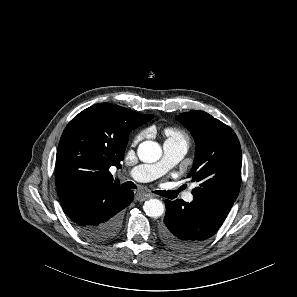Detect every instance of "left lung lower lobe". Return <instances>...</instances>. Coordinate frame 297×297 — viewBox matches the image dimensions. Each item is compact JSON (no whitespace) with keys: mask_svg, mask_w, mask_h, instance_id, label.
<instances>
[{"mask_svg":"<svg viewBox=\"0 0 297 297\" xmlns=\"http://www.w3.org/2000/svg\"><path fill=\"white\" fill-rule=\"evenodd\" d=\"M235 200L224 198L166 200L162 241L178 251H190L213 236L227 217Z\"/></svg>","mask_w":297,"mask_h":297,"instance_id":"left-lung-lower-lobe-1","label":"left lung lower lobe"}]
</instances>
